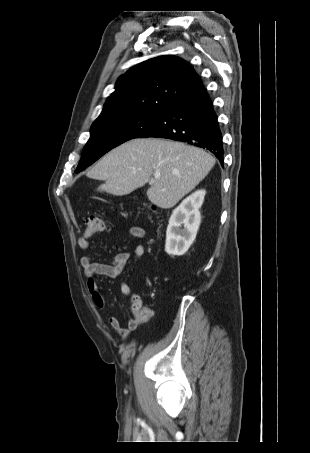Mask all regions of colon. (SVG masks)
<instances>
[{
	"mask_svg": "<svg viewBox=\"0 0 310 453\" xmlns=\"http://www.w3.org/2000/svg\"><path fill=\"white\" fill-rule=\"evenodd\" d=\"M147 209L152 212L155 210L154 206H147ZM105 230H107V225H106L105 220L102 217L93 215L87 220V227H86V231H85V234L87 236H91L96 233L104 232ZM135 304H136V302H135ZM138 314L140 317H146L149 315V312L145 307L141 311H139Z\"/></svg>",
	"mask_w": 310,
	"mask_h": 453,
	"instance_id": "1",
	"label": "colon"
}]
</instances>
